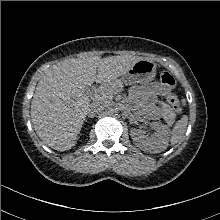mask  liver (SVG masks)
<instances>
[{"label":"liver","instance_id":"obj_1","mask_svg":"<svg viewBox=\"0 0 220 220\" xmlns=\"http://www.w3.org/2000/svg\"><path fill=\"white\" fill-rule=\"evenodd\" d=\"M141 59L84 55L53 65L40 79L31 102V120L39 138L57 151L71 149L91 105L101 102L96 97L91 103L86 89L96 82L99 94L119 91L118 78Z\"/></svg>","mask_w":220,"mask_h":220}]
</instances>
